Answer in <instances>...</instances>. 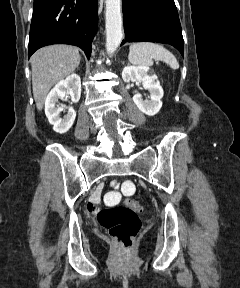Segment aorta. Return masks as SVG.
Returning <instances> with one entry per match:
<instances>
[{
	"label": "aorta",
	"instance_id": "obj_1",
	"mask_svg": "<svg viewBox=\"0 0 240 288\" xmlns=\"http://www.w3.org/2000/svg\"><path fill=\"white\" fill-rule=\"evenodd\" d=\"M106 51L112 54L119 47L122 39L121 0H106Z\"/></svg>",
	"mask_w": 240,
	"mask_h": 288
}]
</instances>
